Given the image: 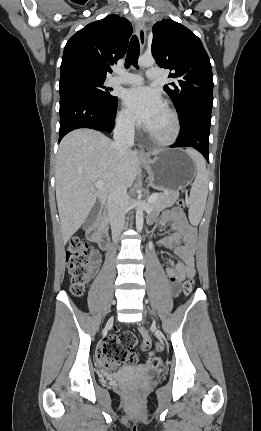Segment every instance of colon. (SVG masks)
Here are the masks:
<instances>
[{"mask_svg": "<svg viewBox=\"0 0 261 431\" xmlns=\"http://www.w3.org/2000/svg\"><path fill=\"white\" fill-rule=\"evenodd\" d=\"M178 205L185 206L184 200H179ZM66 262L71 282V292L76 296H81L89 281L90 258L87 253V244L79 237H73L66 248ZM194 286V276L186 278L183 284V292L188 295ZM136 338L130 332H123L120 335L110 336L104 341L99 349L102 366L106 373L114 374L123 365L134 364L137 356L134 353ZM163 343H158L160 352H165ZM147 362L153 365V370H158V366L163 364L161 357H156L153 352L147 356Z\"/></svg>", "mask_w": 261, "mask_h": 431, "instance_id": "5ec220e1", "label": "colon"}]
</instances>
